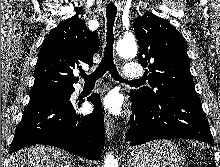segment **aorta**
<instances>
[{
    "label": "aorta",
    "mask_w": 220,
    "mask_h": 167,
    "mask_svg": "<svg viewBox=\"0 0 220 167\" xmlns=\"http://www.w3.org/2000/svg\"><path fill=\"white\" fill-rule=\"evenodd\" d=\"M137 44L133 37H124L118 41L116 51L123 58L134 57L137 54ZM103 167H118V161L112 154L106 155Z\"/></svg>",
    "instance_id": "obj_1"
}]
</instances>
